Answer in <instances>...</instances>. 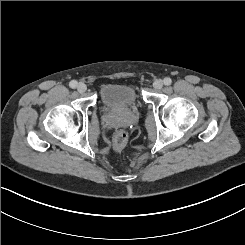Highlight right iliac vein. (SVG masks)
I'll use <instances>...</instances> for the list:
<instances>
[{"label": "right iliac vein", "mask_w": 245, "mask_h": 245, "mask_svg": "<svg viewBox=\"0 0 245 245\" xmlns=\"http://www.w3.org/2000/svg\"><path fill=\"white\" fill-rule=\"evenodd\" d=\"M87 90V86L84 83H79L77 85V91L79 93H84Z\"/></svg>", "instance_id": "obj_1"}]
</instances>
